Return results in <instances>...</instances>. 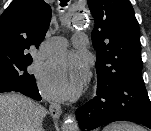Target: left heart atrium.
Masks as SVG:
<instances>
[{
    "label": "left heart atrium",
    "instance_id": "obj_1",
    "mask_svg": "<svg viewBox=\"0 0 151 131\" xmlns=\"http://www.w3.org/2000/svg\"><path fill=\"white\" fill-rule=\"evenodd\" d=\"M87 75V61L83 57L62 52L43 65L39 84L47 98L69 99L82 89Z\"/></svg>",
    "mask_w": 151,
    "mask_h": 131
}]
</instances>
